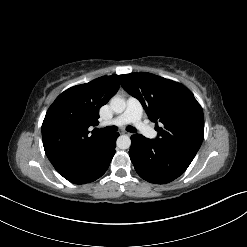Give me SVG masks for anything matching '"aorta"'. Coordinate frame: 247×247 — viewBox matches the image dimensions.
<instances>
[{
	"label": "aorta",
	"instance_id": "obj_1",
	"mask_svg": "<svg viewBox=\"0 0 247 247\" xmlns=\"http://www.w3.org/2000/svg\"><path fill=\"white\" fill-rule=\"evenodd\" d=\"M110 107L115 113H122L126 108V102L119 96H114L110 100ZM131 146V139L127 135H121L117 139V147L119 149H128Z\"/></svg>",
	"mask_w": 247,
	"mask_h": 247
}]
</instances>
